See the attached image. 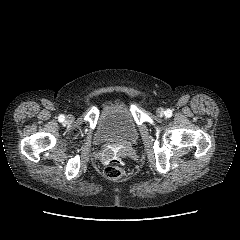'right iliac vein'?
<instances>
[{
  "label": "right iliac vein",
  "mask_w": 240,
  "mask_h": 240,
  "mask_svg": "<svg viewBox=\"0 0 240 240\" xmlns=\"http://www.w3.org/2000/svg\"><path fill=\"white\" fill-rule=\"evenodd\" d=\"M72 120H73V117H72L71 115H68V116L66 117V121H67V122H72Z\"/></svg>",
  "instance_id": "63e3f726"
}]
</instances>
